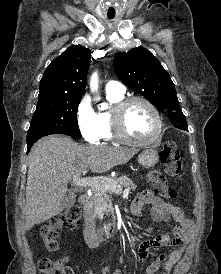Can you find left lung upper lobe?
<instances>
[{"label":"left lung upper lobe","instance_id":"1","mask_svg":"<svg viewBox=\"0 0 221 274\" xmlns=\"http://www.w3.org/2000/svg\"><path fill=\"white\" fill-rule=\"evenodd\" d=\"M113 64L121 81L142 94L160 112L168 113L175 127L188 128L170 75L150 51L138 47L118 53Z\"/></svg>","mask_w":221,"mask_h":274}]
</instances>
